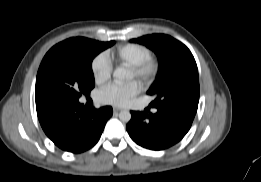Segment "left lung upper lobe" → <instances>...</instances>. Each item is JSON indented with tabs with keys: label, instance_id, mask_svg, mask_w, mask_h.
Returning a JSON list of instances; mask_svg holds the SVG:
<instances>
[{
	"label": "left lung upper lobe",
	"instance_id": "5c2ea615",
	"mask_svg": "<svg viewBox=\"0 0 261 182\" xmlns=\"http://www.w3.org/2000/svg\"><path fill=\"white\" fill-rule=\"evenodd\" d=\"M130 41L152 49L159 58L157 80L147 92L155 96L150 106L157 109L180 105L198 107V69L192 53L183 43L164 34L146 35Z\"/></svg>",
	"mask_w": 261,
	"mask_h": 182
}]
</instances>
